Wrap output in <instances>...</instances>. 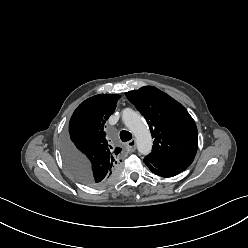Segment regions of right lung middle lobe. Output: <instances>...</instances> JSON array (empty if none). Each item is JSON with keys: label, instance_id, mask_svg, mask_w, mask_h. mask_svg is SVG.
Here are the masks:
<instances>
[{"label": "right lung middle lobe", "instance_id": "obj_1", "mask_svg": "<svg viewBox=\"0 0 248 248\" xmlns=\"http://www.w3.org/2000/svg\"><path fill=\"white\" fill-rule=\"evenodd\" d=\"M68 149H69L68 142H65V144L63 146V156H64L65 152L68 151ZM69 170L74 175L75 178H77L79 181H82L81 173L79 171H77V170L73 171L71 169H69Z\"/></svg>", "mask_w": 248, "mask_h": 248}]
</instances>
